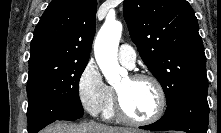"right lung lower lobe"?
<instances>
[{
  "instance_id": "right-lung-lower-lobe-1",
  "label": "right lung lower lobe",
  "mask_w": 221,
  "mask_h": 133,
  "mask_svg": "<svg viewBox=\"0 0 221 133\" xmlns=\"http://www.w3.org/2000/svg\"><path fill=\"white\" fill-rule=\"evenodd\" d=\"M83 115V108L75 105L52 107L37 102H28V133H37L56 120H76Z\"/></svg>"
}]
</instances>
